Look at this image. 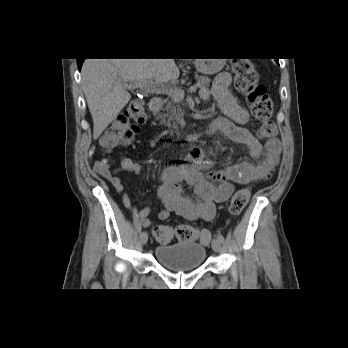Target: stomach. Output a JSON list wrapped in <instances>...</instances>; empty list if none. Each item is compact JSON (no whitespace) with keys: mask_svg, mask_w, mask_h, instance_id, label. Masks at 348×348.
Wrapping results in <instances>:
<instances>
[{"mask_svg":"<svg viewBox=\"0 0 348 348\" xmlns=\"http://www.w3.org/2000/svg\"><path fill=\"white\" fill-rule=\"evenodd\" d=\"M195 67L204 75H212L219 72L225 65V59H196Z\"/></svg>","mask_w":348,"mask_h":348,"instance_id":"1","label":"stomach"}]
</instances>
